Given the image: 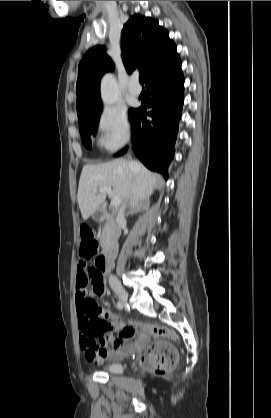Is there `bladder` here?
<instances>
[{
  "mask_svg": "<svg viewBox=\"0 0 271 418\" xmlns=\"http://www.w3.org/2000/svg\"><path fill=\"white\" fill-rule=\"evenodd\" d=\"M122 364L120 362H111L104 366V370L112 373V374H119L122 372Z\"/></svg>",
  "mask_w": 271,
  "mask_h": 418,
  "instance_id": "31cf9c89",
  "label": "bladder"
}]
</instances>
